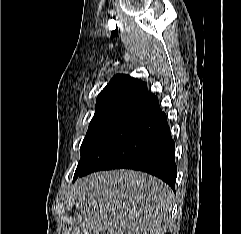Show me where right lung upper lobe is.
I'll list each match as a JSON object with an SVG mask.
<instances>
[{"mask_svg": "<svg viewBox=\"0 0 241 234\" xmlns=\"http://www.w3.org/2000/svg\"><path fill=\"white\" fill-rule=\"evenodd\" d=\"M147 84L128 75H116L97 97L96 106L111 104L139 105L153 94L146 89Z\"/></svg>", "mask_w": 241, "mask_h": 234, "instance_id": "1", "label": "right lung upper lobe"}]
</instances>
